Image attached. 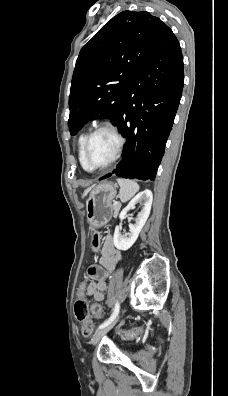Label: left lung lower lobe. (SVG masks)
<instances>
[{
  "label": "left lung lower lobe",
  "instance_id": "1",
  "mask_svg": "<svg viewBox=\"0 0 228 396\" xmlns=\"http://www.w3.org/2000/svg\"><path fill=\"white\" fill-rule=\"evenodd\" d=\"M183 82L179 42L168 26L162 27L119 111L115 126L127 142L114 174L129 179H155L180 103Z\"/></svg>",
  "mask_w": 228,
  "mask_h": 396
}]
</instances>
